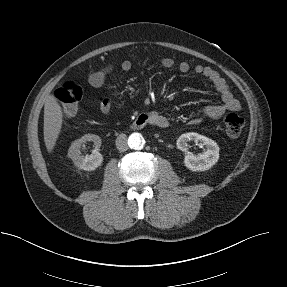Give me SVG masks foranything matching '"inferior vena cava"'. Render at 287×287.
I'll return each instance as SVG.
<instances>
[{
  "label": "inferior vena cava",
  "instance_id": "obj_1",
  "mask_svg": "<svg viewBox=\"0 0 287 287\" xmlns=\"http://www.w3.org/2000/svg\"><path fill=\"white\" fill-rule=\"evenodd\" d=\"M116 147L120 152H124L128 149L127 136L120 134L116 139Z\"/></svg>",
  "mask_w": 287,
  "mask_h": 287
}]
</instances>
